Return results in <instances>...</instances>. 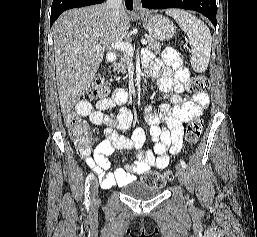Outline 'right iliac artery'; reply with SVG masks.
I'll use <instances>...</instances> for the list:
<instances>
[{
	"label": "right iliac artery",
	"instance_id": "right-iliac-artery-1",
	"mask_svg": "<svg viewBox=\"0 0 257 237\" xmlns=\"http://www.w3.org/2000/svg\"><path fill=\"white\" fill-rule=\"evenodd\" d=\"M93 178V174L89 173L86 181H85V205L89 206L90 205V197H89V187H90V181Z\"/></svg>",
	"mask_w": 257,
	"mask_h": 237
}]
</instances>
